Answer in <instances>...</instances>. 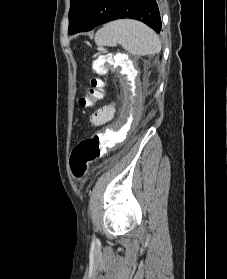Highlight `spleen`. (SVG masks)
<instances>
[{"mask_svg": "<svg viewBox=\"0 0 227 279\" xmlns=\"http://www.w3.org/2000/svg\"><path fill=\"white\" fill-rule=\"evenodd\" d=\"M98 46H117L121 44L128 52L144 56L161 51L158 35L147 25L130 19L110 22L99 29L95 35Z\"/></svg>", "mask_w": 227, "mask_h": 279, "instance_id": "obj_1", "label": "spleen"}]
</instances>
